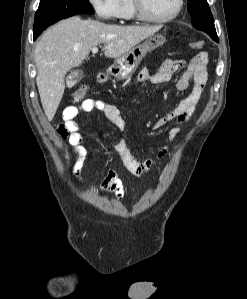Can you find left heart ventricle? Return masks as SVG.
<instances>
[{"instance_id":"left-heart-ventricle-1","label":"left heart ventricle","mask_w":247,"mask_h":299,"mask_svg":"<svg viewBox=\"0 0 247 299\" xmlns=\"http://www.w3.org/2000/svg\"><path fill=\"white\" fill-rule=\"evenodd\" d=\"M146 12L156 18H163L171 15L176 6L177 0H143Z\"/></svg>"}]
</instances>
